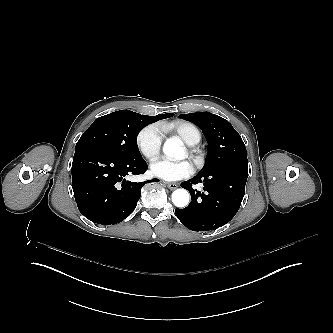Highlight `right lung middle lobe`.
<instances>
[{"instance_id": "dd1d6c3e", "label": "right lung middle lobe", "mask_w": 333, "mask_h": 333, "mask_svg": "<svg viewBox=\"0 0 333 333\" xmlns=\"http://www.w3.org/2000/svg\"><path fill=\"white\" fill-rule=\"evenodd\" d=\"M153 122L149 116L129 110L113 112L97 118L83 133L76 146L96 145L117 157L140 160L142 156L137 147V136L145 126Z\"/></svg>"}]
</instances>
